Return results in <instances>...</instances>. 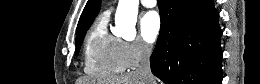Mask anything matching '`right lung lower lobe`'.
Returning <instances> with one entry per match:
<instances>
[{
	"label": "right lung lower lobe",
	"mask_w": 260,
	"mask_h": 84,
	"mask_svg": "<svg viewBox=\"0 0 260 84\" xmlns=\"http://www.w3.org/2000/svg\"><path fill=\"white\" fill-rule=\"evenodd\" d=\"M158 7L152 73L165 84H221L222 32L213 0H158Z\"/></svg>",
	"instance_id": "right-lung-lower-lobe-1"
}]
</instances>
